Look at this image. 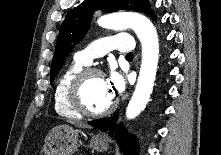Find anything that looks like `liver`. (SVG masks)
Here are the masks:
<instances>
[{
  "label": "liver",
  "mask_w": 221,
  "mask_h": 155,
  "mask_svg": "<svg viewBox=\"0 0 221 155\" xmlns=\"http://www.w3.org/2000/svg\"><path fill=\"white\" fill-rule=\"evenodd\" d=\"M71 124H74L75 126L79 127V128H90V126H88L85 123H81V122H76V121H70Z\"/></svg>",
  "instance_id": "6515ba94"
}]
</instances>
